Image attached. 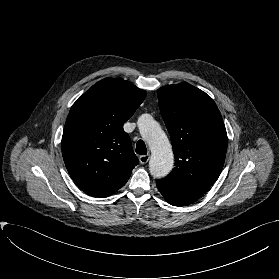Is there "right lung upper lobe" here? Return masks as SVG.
Returning <instances> with one entry per match:
<instances>
[{
	"label": "right lung upper lobe",
	"instance_id": "obj_1",
	"mask_svg": "<svg viewBox=\"0 0 279 279\" xmlns=\"http://www.w3.org/2000/svg\"><path fill=\"white\" fill-rule=\"evenodd\" d=\"M146 92L121 78H105L71 107L62 136V155L75 184L104 198L120 189L138 164L123 124Z\"/></svg>",
	"mask_w": 279,
	"mask_h": 279
}]
</instances>
